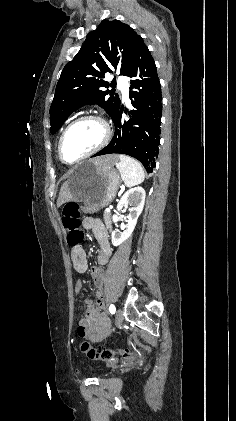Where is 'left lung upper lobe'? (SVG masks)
Here are the masks:
<instances>
[{
  "label": "left lung upper lobe",
  "mask_w": 236,
  "mask_h": 421,
  "mask_svg": "<svg viewBox=\"0 0 236 421\" xmlns=\"http://www.w3.org/2000/svg\"><path fill=\"white\" fill-rule=\"evenodd\" d=\"M142 44L141 36L119 20H103L91 31L61 73L50 107V132L56 133L74 110L86 104H98L112 118L121 100L104 90L115 81H105L104 75L119 69L125 76Z\"/></svg>",
  "instance_id": "obj_1"
}]
</instances>
